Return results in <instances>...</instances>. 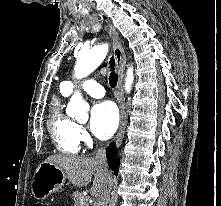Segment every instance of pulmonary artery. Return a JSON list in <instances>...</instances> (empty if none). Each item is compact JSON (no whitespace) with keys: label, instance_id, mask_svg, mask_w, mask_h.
<instances>
[{"label":"pulmonary artery","instance_id":"e3ab8cb5","mask_svg":"<svg viewBox=\"0 0 221 206\" xmlns=\"http://www.w3.org/2000/svg\"><path fill=\"white\" fill-rule=\"evenodd\" d=\"M76 88L77 86L73 82L65 81L63 83V89L68 94H71ZM79 88L95 98H102L105 95L104 88L98 82L91 79L84 81Z\"/></svg>","mask_w":221,"mask_h":206}]
</instances>
